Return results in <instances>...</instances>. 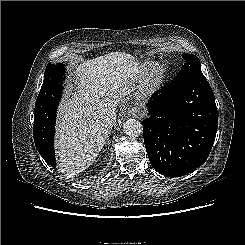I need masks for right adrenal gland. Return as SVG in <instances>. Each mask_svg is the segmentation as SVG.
<instances>
[{
  "mask_svg": "<svg viewBox=\"0 0 245 245\" xmlns=\"http://www.w3.org/2000/svg\"><path fill=\"white\" fill-rule=\"evenodd\" d=\"M107 137H109V136H107ZM106 143H107V144H109V138H107V141H106Z\"/></svg>",
  "mask_w": 245,
  "mask_h": 245,
  "instance_id": "obj_1",
  "label": "right adrenal gland"
}]
</instances>
